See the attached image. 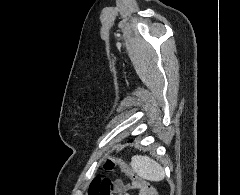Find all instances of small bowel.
Returning <instances> with one entry per match:
<instances>
[{"label":"small bowel","instance_id":"1","mask_svg":"<svg viewBox=\"0 0 240 195\" xmlns=\"http://www.w3.org/2000/svg\"><path fill=\"white\" fill-rule=\"evenodd\" d=\"M125 193H122V195H131V191L136 190L138 195H149V193L146 192L147 188H151V186H131V182L128 184H124Z\"/></svg>","mask_w":240,"mask_h":195}]
</instances>
